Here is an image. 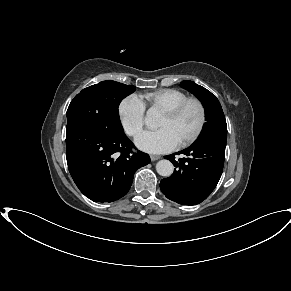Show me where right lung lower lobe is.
Masks as SVG:
<instances>
[{
  "mask_svg": "<svg viewBox=\"0 0 291 291\" xmlns=\"http://www.w3.org/2000/svg\"><path fill=\"white\" fill-rule=\"evenodd\" d=\"M67 164L79 190L94 202H112L130 189L134 173L150 162L133 152L123 130L97 132L80 125L66 127Z\"/></svg>",
  "mask_w": 291,
  "mask_h": 291,
  "instance_id": "obj_1",
  "label": "right lung lower lobe"
}]
</instances>
